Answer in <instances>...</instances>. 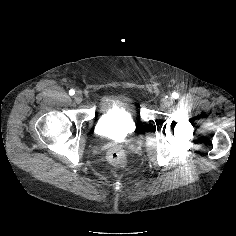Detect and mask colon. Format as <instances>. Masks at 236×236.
Here are the masks:
<instances>
[{
  "mask_svg": "<svg viewBox=\"0 0 236 236\" xmlns=\"http://www.w3.org/2000/svg\"><path fill=\"white\" fill-rule=\"evenodd\" d=\"M108 160L118 168H125L127 166V157L125 152L119 148L114 147L108 153Z\"/></svg>",
  "mask_w": 236,
  "mask_h": 236,
  "instance_id": "obj_1",
  "label": "colon"
}]
</instances>
